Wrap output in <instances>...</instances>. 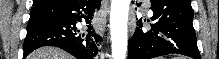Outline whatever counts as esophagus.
I'll list each match as a JSON object with an SVG mask.
<instances>
[{
    "mask_svg": "<svg viewBox=\"0 0 219 59\" xmlns=\"http://www.w3.org/2000/svg\"><path fill=\"white\" fill-rule=\"evenodd\" d=\"M107 2H108V1H107V0H105V3H104V5H103V8H104V11H105V12L107 11V7H108V4H107ZM100 30H101V32H100V33H101V34H103L104 26H103V27H101V29H100Z\"/></svg>",
    "mask_w": 219,
    "mask_h": 59,
    "instance_id": "1",
    "label": "esophagus"
}]
</instances>
